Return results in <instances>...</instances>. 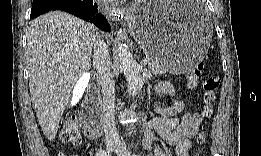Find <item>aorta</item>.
Masks as SVG:
<instances>
[{
    "label": "aorta",
    "instance_id": "762f6f07",
    "mask_svg": "<svg viewBox=\"0 0 261 156\" xmlns=\"http://www.w3.org/2000/svg\"><path fill=\"white\" fill-rule=\"evenodd\" d=\"M118 56L120 69L123 71L128 84V91L132 97L136 96L142 89L143 79L140 67L123 43L118 44Z\"/></svg>",
    "mask_w": 261,
    "mask_h": 156
}]
</instances>
